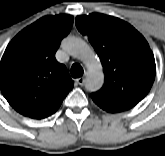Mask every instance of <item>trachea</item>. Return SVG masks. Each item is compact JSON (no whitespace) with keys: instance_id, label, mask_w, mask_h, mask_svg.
I'll return each mask as SVG.
<instances>
[{"instance_id":"obj_1","label":"trachea","mask_w":165,"mask_h":156,"mask_svg":"<svg viewBox=\"0 0 165 156\" xmlns=\"http://www.w3.org/2000/svg\"><path fill=\"white\" fill-rule=\"evenodd\" d=\"M71 75L73 78H78L83 75V68L80 64L75 63L71 67Z\"/></svg>"}]
</instances>
